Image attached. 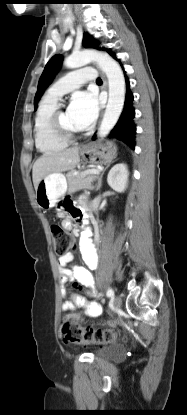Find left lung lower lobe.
Segmentation results:
<instances>
[{"label":"left lung lower lobe","instance_id":"0a47b994","mask_svg":"<svg viewBox=\"0 0 187 415\" xmlns=\"http://www.w3.org/2000/svg\"><path fill=\"white\" fill-rule=\"evenodd\" d=\"M109 53L111 56H113L114 59L118 60L113 53ZM124 74L126 80V97L124 102V108L119 120L117 121L113 129L110 131L108 137L121 140L125 142L127 145H129L132 149H134L136 127L132 121L135 117V111L132 107L133 94L130 90L129 79L126 76V72H124ZM94 138L95 136L93 137V139Z\"/></svg>","mask_w":187,"mask_h":415}]
</instances>
